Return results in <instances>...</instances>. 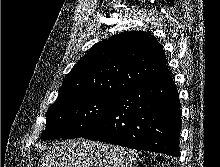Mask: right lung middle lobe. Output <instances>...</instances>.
<instances>
[{"mask_svg": "<svg viewBox=\"0 0 220 167\" xmlns=\"http://www.w3.org/2000/svg\"><path fill=\"white\" fill-rule=\"evenodd\" d=\"M114 97L90 94L57 99L46 113L43 140L81 137L104 116Z\"/></svg>", "mask_w": 220, "mask_h": 167, "instance_id": "obj_1", "label": "right lung middle lobe"}]
</instances>
